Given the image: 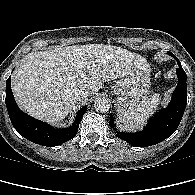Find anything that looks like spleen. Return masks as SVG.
<instances>
[{
    "label": "spleen",
    "instance_id": "obj_1",
    "mask_svg": "<svg viewBox=\"0 0 195 195\" xmlns=\"http://www.w3.org/2000/svg\"><path fill=\"white\" fill-rule=\"evenodd\" d=\"M160 98V94H154L141 106L124 112L123 121L130 127L139 128L149 116L154 114L160 104Z\"/></svg>",
    "mask_w": 195,
    "mask_h": 195
}]
</instances>
